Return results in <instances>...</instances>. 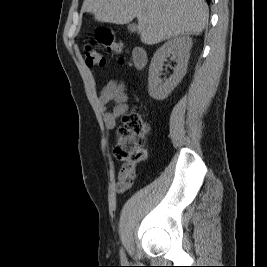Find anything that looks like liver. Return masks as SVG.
Here are the masks:
<instances>
[{
  "mask_svg": "<svg viewBox=\"0 0 267 267\" xmlns=\"http://www.w3.org/2000/svg\"><path fill=\"white\" fill-rule=\"evenodd\" d=\"M82 12L113 24L137 18L138 34L147 45L179 35H199L209 16L204 0H84Z\"/></svg>",
  "mask_w": 267,
  "mask_h": 267,
  "instance_id": "obj_1",
  "label": "liver"
}]
</instances>
